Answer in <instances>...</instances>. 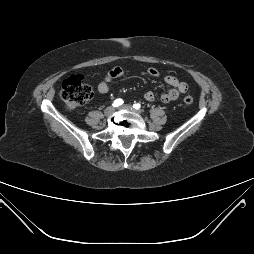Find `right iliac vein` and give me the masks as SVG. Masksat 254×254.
Listing matches in <instances>:
<instances>
[{"instance_id":"obj_1","label":"right iliac vein","mask_w":254,"mask_h":254,"mask_svg":"<svg viewBox=\"0 0 254 254\" xmlns=\"http://www.w3.org/2000/svg\"><path fill=\"white\" fill-rule=\"evenodd\" d=\"M114 111H115V108L110 106L105 109L104 113L106 116H109V115L113 114Z\"/></svg>"}]
</instances>
